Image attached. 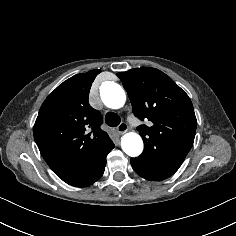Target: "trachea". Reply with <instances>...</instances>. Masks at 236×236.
<instances>
[{
    "label": "trachea",
    "mask_w": 236,
    "mask_h": 236,
    "mask_svg": "<svg viewBox=\"0 0 236 236\" xmlns=\"http://www.w3.org/2000/svg\"><path fill=\"white\" fill-rule=\"evenodd\" d=\"M105 122L109 127H116L120 124L121 118L114 112H108L105 115Z\"/></svg>",
    "instance_id": "1"
}]
</instances>
